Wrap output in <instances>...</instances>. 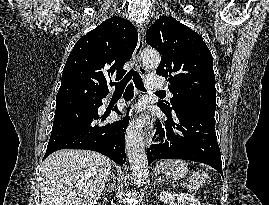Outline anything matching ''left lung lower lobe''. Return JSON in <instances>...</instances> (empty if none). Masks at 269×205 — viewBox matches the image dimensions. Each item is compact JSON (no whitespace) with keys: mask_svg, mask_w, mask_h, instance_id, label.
Wrapping results in <instances>:
<instances>
[{"mask_svg":"<svg viewBox=\"0 0 269 205\" xmlns=\"http://www.w3.org/2000/svg\"><path fill=\"white\" fill-rule=\"evenodd\" d=\"M215 110L216 106L209 104L192 105L173 112L162 109L168 121L164 127L158 122L156 134L165 141L150 146L148 164L157 159L191 160L210 165L223 176Z\"/></svg>","mask_w":269,"mask_h":205,"instance_id":"1","label":"left lung lower lobe"}]
</instances>
